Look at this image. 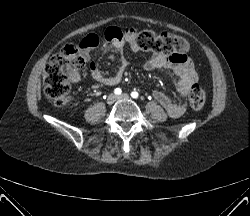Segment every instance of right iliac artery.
<instances>
[{"label":"right iliac artery","mask_w":250,"mask_h":216,"mask_svg":"<svg viewBox=\"0 0 250 216\" xmlns=\"http://www.w3.org/2000/svg\"><path fill=\"white\" fill-rule=\"evenodd\" d=\"M114 93H115L116 95H120V94L122 93V90H121L120 88H116V89L114 90Z\"/></svg>","instance_id":"right-iliac-artery-1"}]
</instances>
